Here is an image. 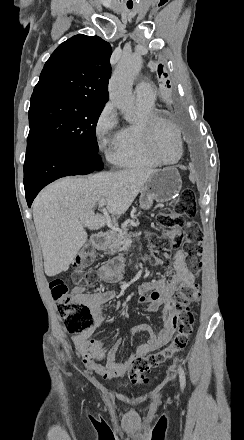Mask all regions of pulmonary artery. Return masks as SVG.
<instances>
[{
    "label": "pulmonary artery",
    "instance_id": "1",
    "mask_svg": "<svg viewBox=\"0 0 244 440\" xmlns=\"http://www.w3.org/2000/svg\"><path fill=\"white\" fill-rule=\"evenodd\" d=\"M136 88H137V94H136L137 102L156 101V93L155 90H151L152 88L151 82H137Z\"/></svg>",
    "mask_w": 244,
    "mask_h": 440
}]
</instances>
